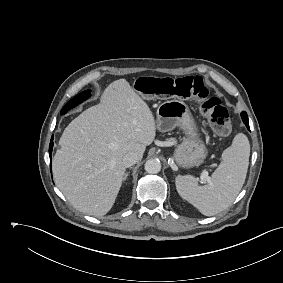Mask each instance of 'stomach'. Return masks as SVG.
<instances>
[{"instance_id": "0dacf381", "label": "stomach", "mask_w": 283, "mask_h": 283, "mask_svg": "<svg viewBox=\"0 0 283 283\" xmlns=\"http://www.w3.org/2000/svg\"><path fill=\"white\" fill-rule=\"evenodd\" d=\"M156 115V127L160 132L180 127L185 134L174 152V160L179 166L191 168L206 158L207 148L200 138L188 106L183 101L175 99L166 104L161 103Z\"/></svg>"}]
</instances>
